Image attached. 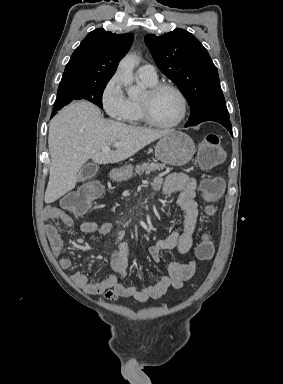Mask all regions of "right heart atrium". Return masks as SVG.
Wrapping results in <instances>:
<instances>
[{"label": "right heart atrium", "instance_id": "right-heart-atrium-1", "mask_svg": "<svg viewBox=\"0 0 283 384\" xmlns=\"http://www.w3.org/2000/svg\"><path fill=\"white\" fill-rule=\"evenodd\" d=\"M101 105L109 122L122 126L127 123L129 101L118 73H114L101 89Z\"/></svg>", "mask_w": 283, "mask_h": 384}]
</instances>
